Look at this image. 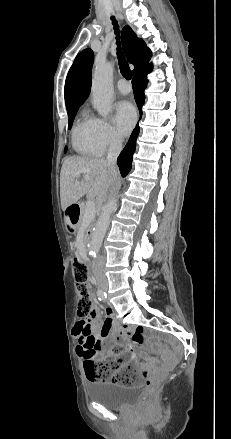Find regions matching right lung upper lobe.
Returning <instances> with one entry per match:
<instances>
[{"mask_svg":"<svg viewBox=\"0 0 231 439\" xmlns=\"http://www.w3.org/2000/svg\"><path fill=\"white\" fill-rule=\"evenodd\" d=\"M122 43L128 61L134 65L132 74L148 65L151 51L145 42L137 38L129 26L122 30ZM94 54L89 48L83 50L74 60L65 82V103L67 110L81 106L91 89V70Z\"/></svg>","mask_w":231,"mask_h":439,"instance_id":"right-lung-upper-lobe-1","label":"right lung upper lobe"}]
</instances>
